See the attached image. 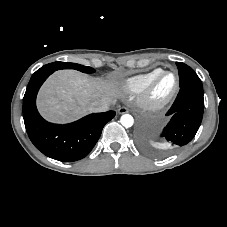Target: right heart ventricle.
<instances>
[{
    "mask_svg": "<svg viewBox=\"0 0 227 227\" xmlns=\"http://www.w3.org/2000/svg\"><path fill=\"white\" fill-rule=\"evenodd\" d=\"M161 71L160 68L152 71L134 75L125 79L122 83L123 89L128 93H139L149 84V82Z\"/></svg>",
    "mask_w": 227,
    "mask_h": 227,
    "instance_id": "right-heart-ventricle-1",
    "label": "right heart ventricle"
}]
</instances>
